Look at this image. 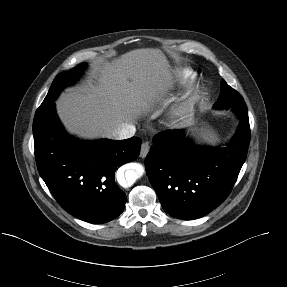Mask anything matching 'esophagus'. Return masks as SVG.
Listing matches in <instances>:
<instances>
[{
    "label": "esophagus",
    "mask_w": 287,
    "mask_h": 287,
    "mask_svg": "<svg viewBox=\"0 0 287 287\" xmlns=\"http://www.w3.org/2000/svg\"><path fill=\"white\" fill-rule=\"evenodd\" d=\"M150 144L149 142H143L141 145L140 157L145 158L149 152Z\"/></svg>",
    "instance_id": "obj_1"
}]
</instances>
